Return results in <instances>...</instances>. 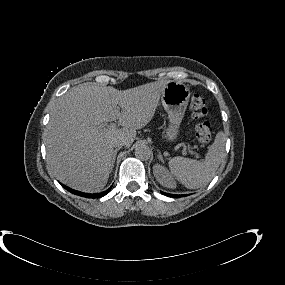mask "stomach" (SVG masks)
I'll return each instance as SVG.
<instances>
[{"mask_svg":"<svg viewBox=\"0 0 285 285\" xmlns=\"http://www.w3.org/2000/svg\"><path fill=\"white\" fill-rule=\"evenodd\" d=\"M189 98V88L177 81H169L161 94L162 105L167 112L169 120L164 134V138L168 142L176 141L180 134V125L188 106Z\"/></svg>","mask_w":285,"mask_h":285,"instance_id":"stomach-1","label":"stomach"}]
</instances>
